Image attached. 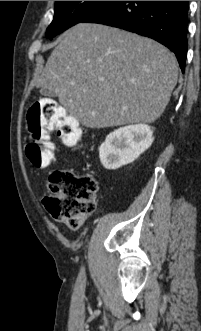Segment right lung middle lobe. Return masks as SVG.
<instances>
[{"instance_id":"obj_1","label":"right lung middle lobe","mask_w":201,"mask_h":331,"mask_svg":"<svg viewBox=\"0 0 201 331\" xmlns=\"http://www.w3.org/2000/svg\"><path fill=\"white\" fill-rule=\"evenodd\" d=\"M108 1H56L54 19L46 31L52 39L67 28L82 22Z\"/></svg>"}]
</instances>
